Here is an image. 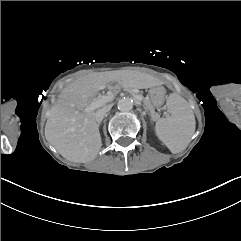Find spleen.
<instances>
[{
	"label": "spleen",
	"mask_w": 241,
	"mask_h": 241,
	"mask_svg": "<svg viewBox=\"0 0 241 241\" xmlns=\"http://www.w3.org/2000/svg\"><path fill=\"white\" fill-rule=\"evenodd\" d=\"M169 118H160L155 123V134L158 139L176 154L184 150L195 131V118L185 101L172 91L169 93Z\"/></svg>",
	"instance_id": "1"
}]
</instances>
